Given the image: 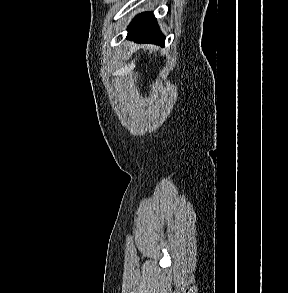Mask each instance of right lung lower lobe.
I'll return each mask as SVG.
<instances>
[{
	"instance_id": "98d812e1",
	"label": "right lung lower lobe",
	"mask_w": 288,
	"mask_h": 293,
	"mask_svg": "<svg viewBox=\"0 0 288 293\" xmlns=\"http://www.w3.org/2000/svg\"><path fill=\"white\" fill-rule=\"evenodd\" d=\"M128 38L136 42L164 45L165 36L160 32L151 12H144L134 18L128 26Z\"/></svg>"
}]
</instances>
